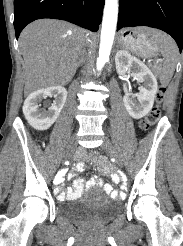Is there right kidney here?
Listing matches in <instances>:
<instances>
[{"label":"right kidney","instance_id":"1","mask_svg":"<svg viewBox=\"0 0 183 246\" xmlns=\"http://www.w3.org/2000/svg\"><path fill=\"white\" fill-rule=\"evenodd\" d=\"M55 100L48 110L41 108V102L47 97ZM67 97L63 86H52L31 93L24 102L23 113L28 123L36 130H47L57 120Z\"/></svg>","mask_w":183,"mask_h":246}]
</instances>
